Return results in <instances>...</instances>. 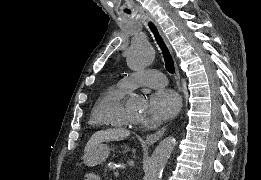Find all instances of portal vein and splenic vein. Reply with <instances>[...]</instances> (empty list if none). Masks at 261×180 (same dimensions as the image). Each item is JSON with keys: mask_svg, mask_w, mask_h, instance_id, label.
Returning <instances> with one entry per match:
<instances>
[{"mask_svg": "<svg viewBox=\"0 0 261 180\" xmlns=\"http://www.w3.org/2000/svg\"><path fill=\"white\" fill-rule=\"evenodd\" d=\"M114 176H115L116 178H119V177L121 176V173L118 172V171H115Z\"/></svg>", "mask_w": 261, "mask_h": 180, "instance_id": "obj_1", "label": "portal vein and splenic vein"}]
</instances>
